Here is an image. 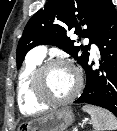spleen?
Instances as JSON below:
<instances>
[{"label":"spleen","instance_id":"1","mask_svg":"<svg viewBox=\"0 0 117 131\" xmlns=\"http://www.w3.org/2000/svg\"><path fill=\"white\" fill-rule=\"evenodd\" d=\"M82 110L90 115V123L95 131L117 130V119L108 110L90 105L84 106Z\"/></svg>","mask_w":117,"mask_h":131}]
</instances>
